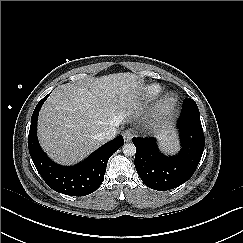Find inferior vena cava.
<instances>
[{"label":"inferior vena cava","instance_id":"obj_1","mask_svg":"<svg viewBox=\"0 0 243 243\" xmlns=\"http://www.w3.org/2000/svg\"><path fill=\"white\" fill-rule=\"evenodd\" d=\"M117 128L116 127H111L106 133H102L99 135L100 139L102 140H111L116 137L117 135Z\"/></svg>","mask_w":243,"mask_h":243}]
</instances>
